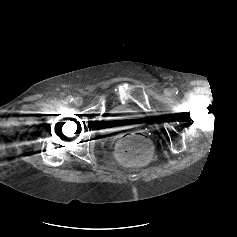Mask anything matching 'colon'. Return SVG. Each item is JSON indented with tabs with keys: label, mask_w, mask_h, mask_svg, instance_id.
Returning a JSON list of instances; mask_svg holds the SVG:
<instances>
[{
	"label": "colon",
	"mask_w": 237,
	"mask_h": 237,
	"mask_svg": "<svg viewBox=\"0 0 237 237\" xmlns=\"http://www.w3.org/2000/svg\"><path fill=\"white\" fill-rule=\"evenodd\" d=\"M116 156L124 164H144L152 157V146L144 135L130 133L118 142Z\"/></svg>",
	"instance_id": "obj_1"
}]
</instances>
